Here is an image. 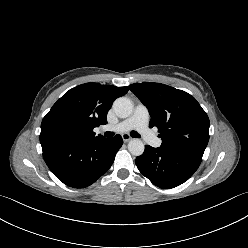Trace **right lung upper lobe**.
<instances>
[{
	"mask_svg": "<svg viewBox=\"0 0 248 248\" xmlns=\"http://www.w3.org/2000/svg\"><path fill=\"white\" fill-rule=\"evenodd\" d=\"M128 87L85 83L67 91L41 123V145L101 139L93 129L106 124L113 101L125 95Z\"/></svg>",
	"mask_w": 248,
	"mask_h": 248,
	"instance_id": "cb5924a9",
	"label": "right lung upper lobe"
}]
</instances>
